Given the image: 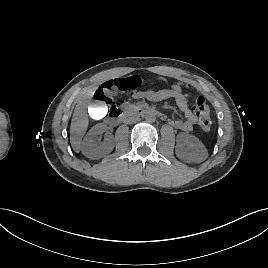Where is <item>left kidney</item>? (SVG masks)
I'll use <instances>...</instances> for the list:
<instances>
[{
    "instance_id": "5707ae66",
    "label": "left kidney",
    "mask_w": 268,
    "mask_h": 268,
    "mask_svg": "<svg viewBox=\"0 0 268 268\" xmlns=\"http://www.w3.org/2000/svg\"><path fill=\"white\" fill-rule=\"evenodd\" d=\"M175 153L179 159L185 162H201L207 157L204 144L197 137L188 133L177 135Z\"/></svg>"
}]
</instances>
